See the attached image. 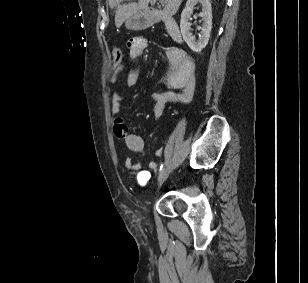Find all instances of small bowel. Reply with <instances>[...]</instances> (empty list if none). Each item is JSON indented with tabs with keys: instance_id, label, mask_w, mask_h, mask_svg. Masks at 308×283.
I'll return each mask as SVG.
<instances>
[{
	"instance_id": "obj_1",
	"label": "small bowel",
	"mask_w": 308,
	"mask_h": 283,
	"mask_svg": "<svg viewBox=\"0 0 308 283\" xmlns=\"http://www.w3.org/2000/svg\"><path fill=\"white\" fill-rule=\"evenodd\" d=\"M129 55L132 59H138L148 47V41L143 37H134L127 43ZM166 55L169 63V70L163 82L166 90L154 92L152 97L155 101L153 115L158 119L165 111L169 103H187L194 93L195 78L194 65L187 54L179 48L169 47L166 50ZM124 71L123 65L115 66L111 76L110 83L116 84L118 76ZM139 81V71L133 69L127 75V85L134 87ZM123 96L119 93H113L111 97V112L115 116L114 119V134L123 139L127 148L133 152H141L145 147L143 138L129 131L123 118L120 116L122 110ZM156 156L162 155V149L155 151ZM125 166L129 170H139L140 164L132 158H127ZM156 162L149 163L150 169H155Z\"/></svg>"
}]
</instances>
